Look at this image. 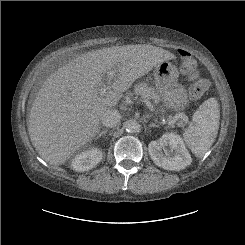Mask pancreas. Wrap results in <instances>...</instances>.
I'll use <instances>...</instances> for the list:
<instances>
[{"label":"pancreas","instance_id":"pancreas-1","mask_svg":"<svg viewBox=\"0 0 245 245\" xmlns=\"http://www.w3.org/2000/svg\"><path fill=\"white\" fill-rule=\"evenodd\" d=\"M134 93L140 95L143 99L158 100V93L153 87L148 86L146 83H138L135 86Z\"/></svg>","mask_w":245,"mask_h":245}]
</instances>
